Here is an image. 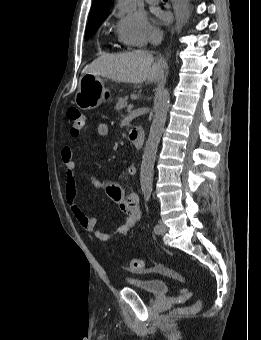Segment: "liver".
Here are the masks:
<instances>
[{"mask_svg": "<svg viewBox=\"0 0 261 340\" xmlns=\"http://www.w3.org/2000/svg\"><path fill=\"white\" fill-rule=\"evenodd\" d=\"M151 53L136 50L120 54H104L87 65L83 74H93L124 83H153L161 76V63H154ZM153 64V65H152Z\"/></svg>", "mask_w": 261, "mask_h": 340, "instance_id": "1", "label": "liver"}]
</instances>
